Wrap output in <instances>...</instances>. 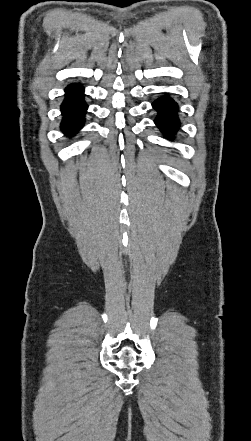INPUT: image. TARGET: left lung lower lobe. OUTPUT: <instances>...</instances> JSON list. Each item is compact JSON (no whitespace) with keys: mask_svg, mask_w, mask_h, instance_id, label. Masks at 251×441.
Returning a JSON list of instances; mask_svg holds the SVG:
<instances>
[{"mask_svg":"<svg viewBox=\"0 0 251 441\" xmlns=\"http://www.w3.org/2000/svg\"><path fill=\"white\" fill-rule=\"evenodd\" d=\"M152 106L158 112L154 120L155 124L167 138L172 137L180 127L177 103L170 97L164 96L153 102Z\"/></svg>","mask_w":251,"mask_h":441,"instance_id":"1","label":"left lung lower lobe"}]
</instances>
